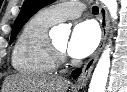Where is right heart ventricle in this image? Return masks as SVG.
Returning <instances> with one entry per match:
<instances>
[{
    "instance_id": "right-heart-ventricle-1",
    "label": "right heart ventricle",
    "mask_w": 127,
    "mask_h": 92,
    "mask_svg": "<svg viewBox=\"0 0 127 92\" xmlns=\"http://www.w3.org/2000/svg\"><path fill=\"white\" fill-rule=\"evenodd\" d=\"M57 22L42 10L30 18L21 30L12 53L14 69L27 75L51 74L57 69L49 47V29Z\"/></svg>"
}]
</instances>
